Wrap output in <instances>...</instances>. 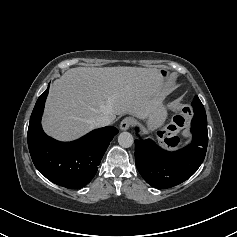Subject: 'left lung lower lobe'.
<instances>
[{"instance_id":"1","label":"left lung lower lobe","mask_w":237,"mask_h":237,"mask_svg":"<svg viewBox=\"0 0 237 237\" xmlns=\"http://www.w3.org/2000/svg\"><path fill=\"white\" fill-rule=\"evenodd\" d=\"M191 133L192 142L174 152L161 149L150 139L135 140L136 167L147 183L155 188H170L198 170L208 145L207 118L194 116Z\"/></svg>"}]
</instances>
